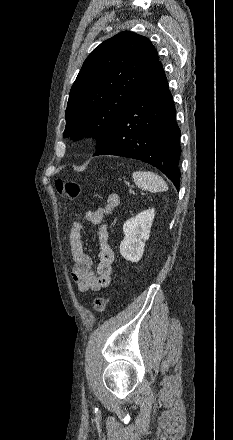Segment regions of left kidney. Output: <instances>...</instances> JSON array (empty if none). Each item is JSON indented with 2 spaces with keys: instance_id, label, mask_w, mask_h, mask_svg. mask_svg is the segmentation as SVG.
<instances>
[{
  "instance_id": "5707ae66",
  "label": "left kidney",
  "mask_w": 233,
  "mask_h": 440,
  "mask_svg": "<svg viewBox=\"0 0 233 440\" xmlns=\"http://www.w3.org/2000/svg\"><path fill=\"white\" fill-rule=\"evenodd\" d=\"M155 217V210L148 209L128 219L123 225L124 239L120 244V254L128 261L138 262L144 253L146 240Z\"/></svg>"
}]
</instances>
